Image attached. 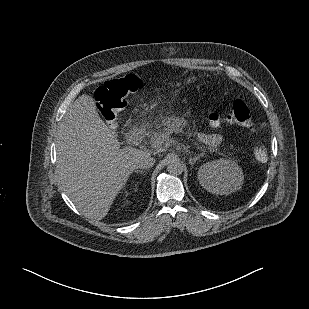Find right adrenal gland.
<instances>
[{
  "label": "right adrenal gland",
  "mask_w": 309,
  "mask_h": 309,
  "mask_svg": "<svg viewBox=\"0 0 309 309\" xmlns=\"http://www.w3.org/2000/svg\"><path fill=\"white\" fill-rule=\"evenodd\" d=\"M147 172V170H138L137 171V173H140V174H144V173H146Z\"/></svg>",
  "instance_id": "1"
}]
</instances>
